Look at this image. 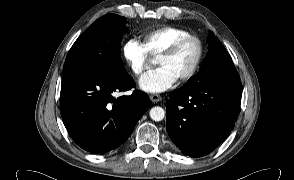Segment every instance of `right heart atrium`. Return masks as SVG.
Instances as JSON below:
<instances>
[{
    "mask_svg": "<svg viewBox=\"0 0 294 180\" xmlns=\"http://www.w3.org/2000/svg\"><path fill=\"white\" fill-rule=\"evenodd\" d=\"M121 54L128 68L136 76L142 75L150 67L152 56L135 38H130L124 42Z\"/></svg>",
    "mask_w": 294,
    "mask_h": 180,
    "instance_id": "obj_1",
    "label": "right heart atrium"
}]
</instances>
